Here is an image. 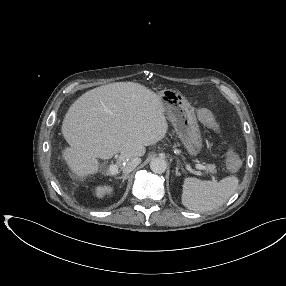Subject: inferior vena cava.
Wrapping results in <instances>:
<instances>
[{
    "instance_id": "1",
    "label": "inferior vena cava",
    "mask_w": 286,
    "mask_h": 286,
    "mask_svg": "<svg viewBox=\"0 0 286 286\" xmlns=\"http://www.w3.org/2000/svg\"><path fill=\"white\" fill-rule=\"evenodd\" d=\"M141 163V159L139 157H132L126 159L122 165V171L124 174H129L133 169H135Z\"/></svg>"
}]
</instances>
